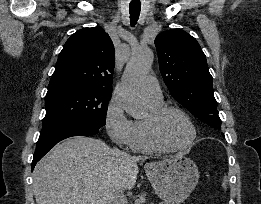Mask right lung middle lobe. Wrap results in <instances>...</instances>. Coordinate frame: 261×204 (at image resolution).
<instances>
[{
	"label": "right lung middle lobe",
	"mask_w": 261,
	"mask_h": 204,
	"mask_svg": "<svg viewBox=\"0 0 261 204\" xmlns=\"http://www.w3.org/2000/svg\"><path fill=\"white\" fill-rule=\"evenodd\" d=\"M111 91L95 89L65 90L47 94L43 128L71 122L106 123Z\"/></svg>",
	"instance_id": "1"
}]
</instances>
